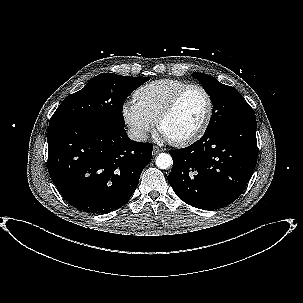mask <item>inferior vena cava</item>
Masks as SVG:
<instances>
[{
  "label": "inferior vena cava",
  "instance_id": "obj_1",
  "mask_svg": "<svg viewBox=\"0 0 303 303\" xmlns=\"http://www.w3.org/2000/svg\"><path fill=\"white\" fill-rule=\"evenodd\" d=\"M128 137L133 141L144 142L148 139L146 132L137 128H130L127 131Z\"/></svg>",
  "mask_w": 303,
  "mask_h": 303
}]
</instances>
